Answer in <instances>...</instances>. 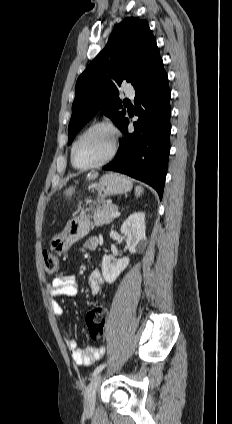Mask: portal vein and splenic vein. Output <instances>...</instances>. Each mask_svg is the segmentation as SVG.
Returning <instances> with one entry per match:
<instances>
[{
  "instance_id": "18ae733b",
  "label": "portal vein and splenic vein",
  "mask_w": 232,
  "mask_h": 424,
  "mask_svg": "<svg viewBox=\"0 0 232 424\" xmlns=\"http://www.w3.org/2000/svg\"><path fill=\"white\" fill-rule=\"evenodd\" d=\"M111 216L112 217H118V216H120V213H119V211L116 210V211L112 212Z\"/></svg>"
}]
</instances>
